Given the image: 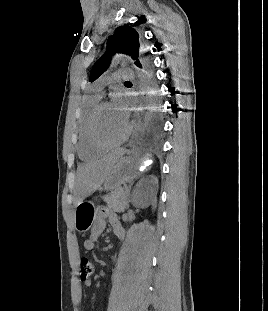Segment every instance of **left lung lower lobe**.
Segmentation results:
<instances>
[{
    "label": "left lung lower lobe",
    "mask_w": 268,
    "mask_h": 311,
    "mask_svg": "<svg viewBox=\"0 0 268 311\" xmlns=\"http://www.w3.org/2000/svg\"><path fill=\"white\" fill-rule=\"evenodd\" d=\"M140 72L143 76L144 83L151 93L156 91V77L153 68L152 60L148 57L142 56L139 66ZM162 122V110L159 103L152 106L150 112L146 115L144 120L143 141H162L164 139V132H159Z\"/></svg>",
    "instance_id": "left-lung-lower-lobe-1"
}]
</instances>
